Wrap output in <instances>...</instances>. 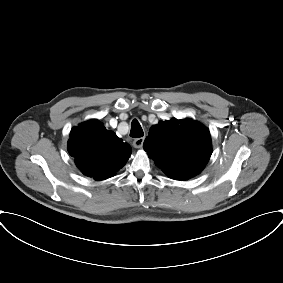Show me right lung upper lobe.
<instances>
[{
    "mask_svg": "<svg viewBox=\"0 0 283 283\" xmlns=\"http://www.w3.org/2000/svg\"><path fill=\"white\" fill-rule=\"evenodd\" d=\"M68 152L84 175L105 180L125 165L131 147L98 120H90L72 128Z\"/></svg>",
    "mask_w": 283,
    "mask_h": 283,
    "instance_id": "obj_1",
    "label": "right lung upper lobe"
}]
</instances>
